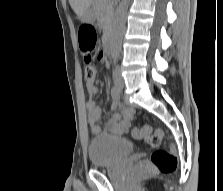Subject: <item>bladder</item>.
<instances>
[{
	"label": "bladder",
	"mask_w": 223,
	"mask_h": 191,
	"mask_svg": "<svg viewBox=\"0 0 223 191\" xmlns=\"http://www.w3.org/2000/svg\"><path fill=\"white\" fill-rule=\"evenodd\" d=\"M133 151L132 142L119 136L101 135L88 144L90 163L94 167L113 166Z\"/></svg>",
	"instance_id": "1"
}]
</instances>
